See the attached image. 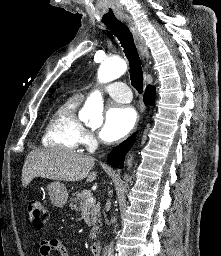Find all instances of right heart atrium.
Masks as SVG:
<instances>
[{"instance_id":"d8ad5b80","label":"right heart atrium","mask_w":221,"mask_h":256,"mask_svg":"<svg viewBox=\"0 0 221 256\" xmlns=\"http://www.w3.org/2000/svg\"><path fill=\"white\" fill-rule=\"evenodd\" d=\"M93 142L94 139L92 133L89 130L83 128L80 136V143L86 146H90L93 144Z\"/></svg>"}]
</instances>
